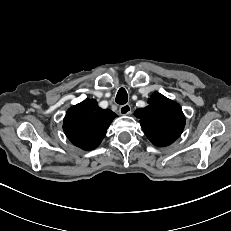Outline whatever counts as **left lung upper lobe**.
<instances>
[{
	"instance_id": "obj_1",
	"label": "left lung upper lobe",
	"mask_w": 231,
	"mask_h": 231,
	"mask_svg": "<svg viewBox=\"0 0 231 231\" xmlns=\"http://www.w3.org/2000/svg\"><path fill=\"white\" fill-rule=\"evenodd\" d=\"M149 105L135 111L145 135L156 146L172 144L182 133L185 117L179 104L154 93Z\"/></svg>"
}]
</instances>
